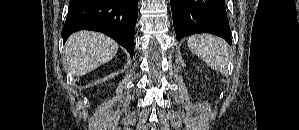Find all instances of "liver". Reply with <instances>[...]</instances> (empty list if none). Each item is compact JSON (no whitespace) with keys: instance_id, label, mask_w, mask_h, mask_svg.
I'll use <instances>...</instances> for the list:
<instances>
[{"instance_id":"1","label":"liver","mask_w":299,"mask_h":130,"mask_svg":"<svg viewBox=\"0 0 299 130\" xmlns=\"http://www.w3.org/2000/svg\"><path fill=\"white\" fill-rule=\"evenodd\" d=\"M118 51V44L104 34L79 31L65 45L64 66L74 76H83L109 62Z\"/></svg>"}]
</instances>
